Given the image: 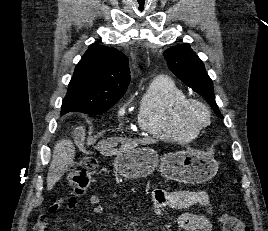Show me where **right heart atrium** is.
<instances>
[{
	"label": "right heart atrium",
	"mask_w": 268,
	"mask_h": 231,
	"mask_svg": "<svg viewBox=\"0 0 268 231\" xmlns=\"http://www.w3.org/2000/svg\"><path fill=\"white\" fill-rule=\"evenodd\" d=\"M124 111H125V106L123 105L119 108V111H118L119 115H122Z\"/></svg>",
	"instance_id": "obj_1"
}]
</instances>
